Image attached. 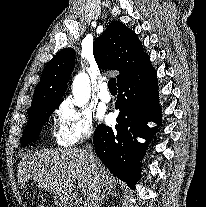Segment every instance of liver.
I'll list each match as a JSON object with an SVG mask.
<instances>
[{
  "label": "liver",
  "mask_w": 206,
  "mask_h": 207,
  "mask_svg": "<svg viewBox=\"0 0 206 207\" xmlns=\"http://www.w3.org/2000/svg\"><path fill=\"white\" fill-rule=\"evenodd\" d=\"M97 160V169L91 166L84 149L39 150L26 154L18 166V183L24 187L28 180L37 182L53 194L54 201L66 207L72 201V192L78 181L81 195L87 202L95 192V182L101 188L115 187L116 178Z\"/></svg>",
  "instance_id": "liver-1"
}]
</instances>
